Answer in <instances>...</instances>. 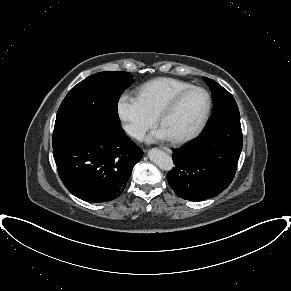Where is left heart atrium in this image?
<instances>
[{
    "mask_svg": "<svg viewBox=\"0 0 291 291\" xmlns=\"http://www.w3.org/2000/svg\"><path fill=\"white\" fill-rule=\"evenodd\" d=\"M149 140H170V137L162 128H159L149 137Z\"/></svg>",
    "mask_w": 291,
    "mask_h": 291,
    "instance_id": "1",
    "label": "left heart atrium"
}]
</instances>
